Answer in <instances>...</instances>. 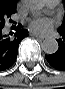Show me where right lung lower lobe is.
Returning <instances> with one entry per match:
<instances>
[{"label": "right lung lower lobe", "instance_id": "98d812e1", "mask_svg": "<svg viewBox=\"0 0 65 89\" xmlns=\"http://www.w3.org/2000/svg\"><path fill=\"white\" fill-rule=\"evenodd\" d=\"M21 27L20 25L17 27L14 39L7 38L2 34V29H0V71L8 69L14 64L19 43L28 36V31L21 29Z\"/></svg>", "mask_w": 65, "mask_h": 89}]
</instances>
